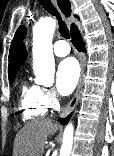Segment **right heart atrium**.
<instances>
[{"label":"right heart atrium","mask_w":114,"mask_h":156,"mask_svg":"<svg viewBox=\"0 0 114 156\" xmlns=\"http://www.w3.org/2000/svg\"><path fill=\"white\" fill-rule=\"evenodd\" d=\"M42 98L48 107H54L58 102V96L52 88H42Z\"/></svg>","instance_id":"d8ad5b80"}]
</instances>
